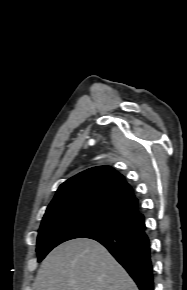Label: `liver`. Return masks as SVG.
<instances>
[{
	"label": "liver",
	"instance_id": "1",
	"mask_svg": "<svg viewBox=\"0 0 187 290\" xmlns=\"http://www.w3.org/2000/svg\"><path fill=\"white\" fill-rule=\"evenodd\" d=\"M36 290H138L125 269L95 240L78 238L54 248L43 260Z\"/></svg>",
	"mask_w": 187,
	"mask_h": 290
}]
</instances>
